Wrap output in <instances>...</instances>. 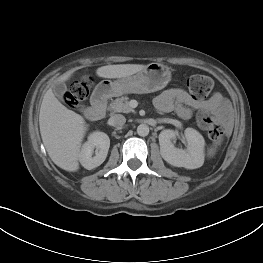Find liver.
Wrapping results in <instances>:
<instances>
[{
	"instance_id": "6515ba94",
	"label": "liver",
	"mask_w": 263,
	"mask_h": 263,
	"mask_svg": "<svg viewBox=\"0 0 263 263\" xmlns=\"http://www.w3.org/2000/svg\"><path fill=\"white\" fill-rule=\"evenodd\" d=\"M142 64H118L99 67L96 74L102 78H121L141 71ZM71 72L58 81H66ZM39 126L43 144L51 160L63 170L79 169L80 146L87 131L84 118L66 108L49 88L43 97L39 113Z\"/></svg>"
}]
</instances>
